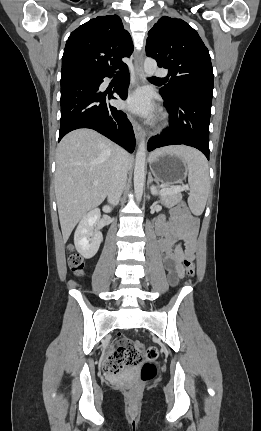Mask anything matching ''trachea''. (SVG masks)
Segmentation results:
<instances>
[{
    "mask_svg": "<svg viewBox=\"0 0 261 431\" xmlns=\"http://www.w3.org/2000/svg\"><path fill=\"white\" fill-rule=\"evenodd\" d=\"M116 75H117V76H122V75H123V72H118ZM151 79H154V80H161V79L156 78V77H151Z\"/></svg>",
    "mask_w": 261,
    "mask_h": 431,
    "instance_id": "trachea-1",
    "label": "trachea"
}]
</instances>
